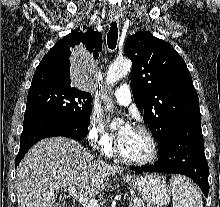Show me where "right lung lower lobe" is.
<instances>
[{
    "label": "right lung lower lobe",
    "instance_id": "1",
    "mask_svg": "<svg viewBox=\"0 0 220 207\" xmlns=\"http://www.w3.org/2000/svg\"><path fill=\"white\" fill-rule=\"evenodd\" d=\"M88 125L43 115H33L24 119V127L20 137V149L15 160V167H17L29 148L39 140L53 136L81 140L88 133Z\"/></svg>",
    "mask_w": 220,
    "mask_h": 207
}]
</instances>
